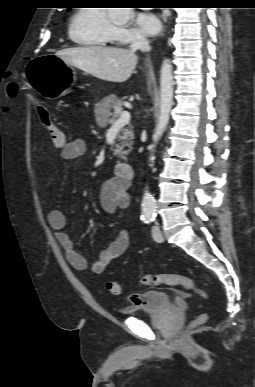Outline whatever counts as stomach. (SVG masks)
Instances as JSON below:
<instances>
[{
    "mask_svg": "<svg viewBox=\"0 0 255 387\" xmlns=\"http://www.w3.org/2000/svg\"><path fill=\"white\" fill-rule=\"evenodd\" d=\"M46 55H35V59L25 66L26 82H31L33 91L38 95L56 97L65 95L66 91H75V70L65 63L58 55H51L48 47L44 48Z\"/></svg>",
    "mask_w": 255,
    "mask_h": 387,
    "instance_id": "0dacf381",
    "label": "stomach"
}]
</instances>
